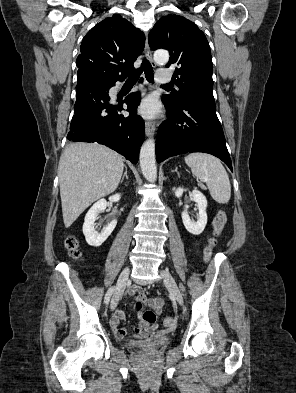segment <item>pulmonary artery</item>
Masks as SVG:
<instances>
[{
	"instance_id": "e3ab8cb5",
	"label": "pulmonary artery",
	"mask_w": 296,
	"mask_h": 393,
	"mask_svg": "<svg viewBox=\"0 0 296 393\" xmlns=\"http://www.w3.org/2000/svg\"><path fill=\"white\" fill-rule=\"evenodd\" d=\"M156 81L159 83H168L171 81V75L166 70L157 72Z\"/></svg>"
}]
</instances>
